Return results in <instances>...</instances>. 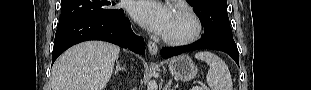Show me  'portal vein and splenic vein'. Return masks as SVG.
<instances>
[{"label":"portal vein and splenic vein","instance_id":"1","mask_svg":"<svg viewBox=\"0 0 311 90\" xmlns=\"http://www.w3.org/2000/svg\"><path fill=\"white\" fill-rule=\"evenodd\" d=\"M202 89H205L204 87H199V86H196L195 88H194V90H202Z\"/></svg>","mask_w":311,"mask_h":90}]
</instances>
